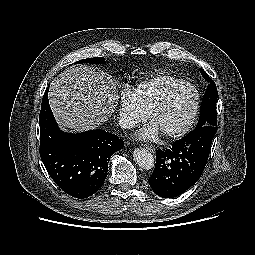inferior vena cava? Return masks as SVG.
Segmentation results:
<instances>
[{
  "label": "inferior vena cava",
  "mask_w": 255,
  "mask_h": 255,
  "mask_svg": "<svg viewBox=\"0 0 255 255\" xmlns=\"http://www.w3.org/2000/svg\"><path fill=\"white\" fill-rule=\"evenodd\" d=\"M119 124L124 129H130L135 126V121L126 116H120Z\"/></svg>",
  "instance_id": "obj_1"
}]
</instances>
